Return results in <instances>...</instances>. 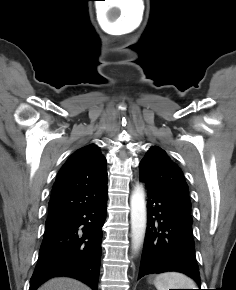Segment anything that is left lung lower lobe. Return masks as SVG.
I'll return each mask as SVG.
<instances>
[{"label":"left lung lower lobe","instance_id":"obj_1","mask_svg":"<svg viewBox=\"0 0 236 290\" xmlns=\"http://www.w3.org/2000/svg\"><path fill=\"white\" fill-rule=\"evenodd\" d=\"M146 188L148 219L138 279L152 273L178 271L200 285L191 208L168 191Z\"/></svg>","mask_w":236,"mask_h":290}]
</instances>
